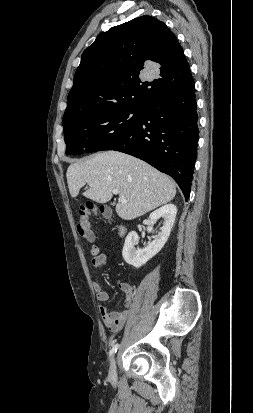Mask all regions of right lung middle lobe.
I'll return each instance as SVG.
<instances>
[{"label":"right lung middle lobe","mask_w":253,"mask_h":413,"mask_svg":"<svg viewBox=\"0 0 253 413\" xmlns=\"http://www.w3.org/2000/svg\"><path fill=\"white\" fill-rule=\"evenodd\" d=\"M140 116V108H116L63 124L66 154L103 150L129 133Z\"/></svg>","instance_id":"1"}]
</instances>
